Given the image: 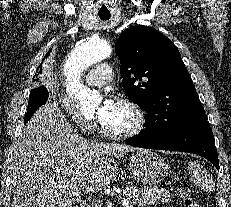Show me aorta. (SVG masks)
Masks as SVG:
<instances>
[{
    "label": "aorta",
    "instance_id": "obj_1",
    "mask_svg": "<svg viewBox=\"0 0 231 207\" xmlns=\"http://www.w3.org/2000/svg\"><path fill=\"white\" fill-rule=\"evenodd\" d=\"M112 48L107 41L91 38L79 43L69 54L64 74L67 79V92L79 105L82 112H91L100 102V96L80 82V76L91 65L108 58Z\"/></svg>",
    "mask_w": 231,
    "mask_h": 207
}]
</instances>
